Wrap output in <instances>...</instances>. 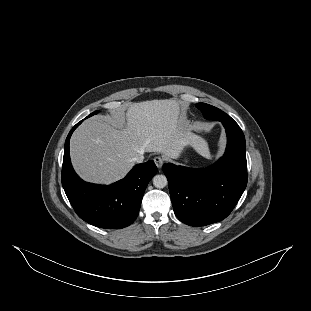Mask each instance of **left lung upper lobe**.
Listing matches in <instances>:
<instances>
[{"instance_id":"1","label":"left lung upper lobe","mask_w":311,"mask_h":311,"mask_svg":"<svg viewBox=\"0 0 311 311\" xmlns=\"http://www.w3.org/2000/svg\"><path fill=\"white\" fill-rule=\"evenodd\" d=\"M196 107L203 113L206 119L218 120L220 121L227 114L220 109L205 103H198Z\"/></svg>"}]
</instances>
